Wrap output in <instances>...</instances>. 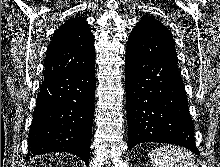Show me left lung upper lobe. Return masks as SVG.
Instances as JSON below:
<instances>
[{
  "label": "left lung upper lobe",
  "instance_id": "obj_1",
  "mask_svg": "<svg viewBox=\"0 0 220 167\" xmlns=\"http://www.w3.org/2000/svg\"><path fill=\"white\" fill-rule=\"evenodd\" d=\"M126 51L141 58H158L178 63L171 31L150 16L141 19L134 27Z\"/></svg>",
  "mask_w": 220,
  "mask_h": 167
}]
</instances>
